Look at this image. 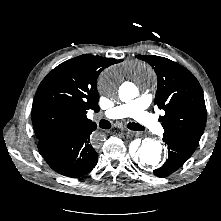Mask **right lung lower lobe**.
<instances>
[{"label":"right lung lower lobe","instance_id":"98d812e1","mask_svg":"<svg viewBox=\"0 0 221 221\" xmlns=\"http://www.w3.org/2000/svg\"><path fill=\"white\" fill-rule=\"evenodd\" d=\"M96 126L68 130L40 140L38 148L56 172L68 177L89 173L97 164L94 133Z\"/></svg>","mask_w":221,"mask_h":221}]
</instances>
